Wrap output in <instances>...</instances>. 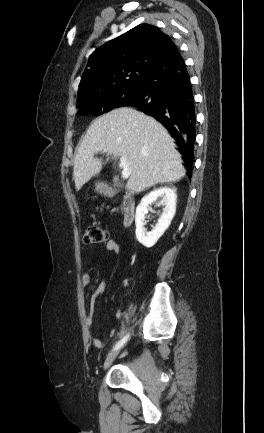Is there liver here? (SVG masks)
<instances>
[{
    "label": "liver",
    "instance_id": "liver-1",
    "mask_svg": "<svg viewBox=\"0 0 264 433\" xmlns=\"http://www.w3.org/2000/svg\"><path fill=\"white\" fill-rule=\"evenodd\" d=\"M126 157L131 174L126 188L140 193L159 183L176 182L185 176L181 157L166 129L152 117L121 107L95 119L80 143L73 166L76 190L100 173L99 151Z\"/></svg>",
    "mask_w": 264,
    "mask_h": 433
}]
</instances>
